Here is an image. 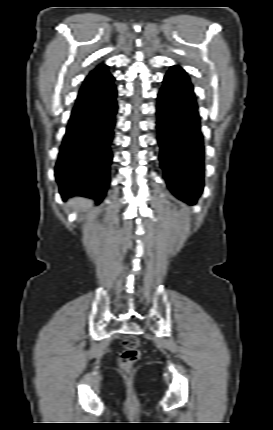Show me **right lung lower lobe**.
<instances>
[{
    "label": "right lung lower lobe",
    "mask_w": 273,
    "mask_h": 430,
    "mask_svg": "<svg viewBox=\"0 0 273 430\" xmlns=\"http://www.w3.org/2000/svg\"><path fill=\"white\" fill-rule=\"evenodd\" d=\"M113 82L110 75L90 83L72 110L55 166L62 198L85 196L99 204L105 197L118 109Z\"/></svg>",
    "instance_id": "98d812e1"
}]
</instances>
